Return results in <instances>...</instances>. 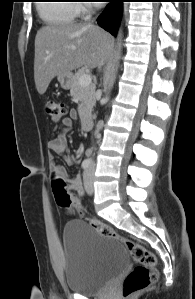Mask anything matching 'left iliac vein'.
<instances>
[{
    "label": "left iliac vein",
    "mask_w": 195,
    "mask_h": 299,
    "mask_svg": "<svg viewBox=\"0 0 195 299\" xmlns=\"http://www.w3.org/2000/svg\"><path fill=\"white\" fill-rule=\"evenodd\" d=\"M93 171H94V165H91L84 173L85 190L89 195L93 194L94 192Z\"/></svg>",
    "instance_id": "obj_1"
}]
</instances>
